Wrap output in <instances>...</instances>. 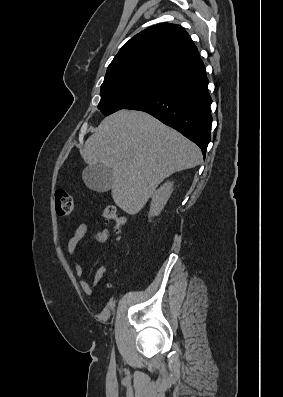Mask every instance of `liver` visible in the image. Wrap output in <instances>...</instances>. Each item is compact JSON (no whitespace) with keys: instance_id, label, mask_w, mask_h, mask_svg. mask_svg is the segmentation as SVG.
<instances>
[{"instance_id":"1","label":"liver","mask_w":283,"mask_h":397,"mask_svg":"<svg viewBox=\"0 0 283 397\" xmlns=\"http://www.w3.org/2000/svg\"><path fill=\"white\" fill-rule=\"evenodd\" d=\"M81 155L88 165L112 169V198L130 215L166 177L202 163L199 147L182 134L145 112L125 109L101 122Z\"/></svg>"}]
</instances>
